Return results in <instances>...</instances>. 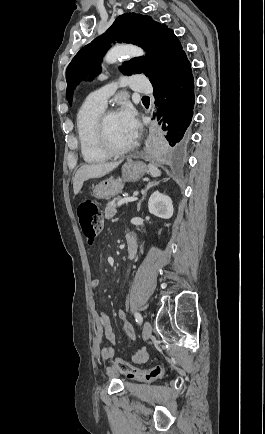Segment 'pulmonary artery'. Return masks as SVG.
<instances>
[{
    "instance_id": "pulmonary-artery-1",
    "label": "pulmonary artery",
    "mask_w": 265,
    "mask_h": 434,
    "mask_svg": "<svg viewBox=\"0 0 265 434\" xmlns=\"http://www.w3.org/2000/svg\"><path fill=\"white\" fill-rule=\"evenodd\" d=\"M118 81L123 84L128 83V78L120 76ZM149 78L148 75H131L130 82L131 84H148ZM106 88L97 87L95 91H89L88 98L91 103H103L106 102V96H113L115 93V89L119 87V84L115 81L107 82Z\"/></svg>"
}]
</instances>
